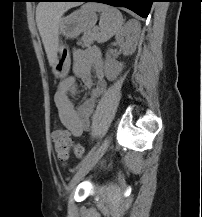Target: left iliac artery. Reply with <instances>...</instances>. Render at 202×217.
Returning a JSON list of instances; mask_svg holds the SVG:
<instances>
[{"label":"left iliac artery","mask_w":202,"mask_h":217,"mask_svg":"<svg viewBox=\"0 0 202 217\" xmlns=\"http://www.w3.org/2000/svg\"><path fill=\"white\" fill-rule=\"evenodd\" d=\"M100 142H97L95 146L91 148V150L87 153V155L82 159V161L75 167L74 170L79 169L81 166H83L88 159L91 157V155L95 152L96 148L99 146Z\"/></svg>","instance_id":"left-iliac-artery-1"}]
</instances>
